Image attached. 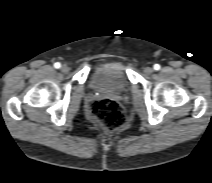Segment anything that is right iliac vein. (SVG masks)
I'll use <instances>...</instances> for the list:
<instances>
[{
  "label": "right iliac vein",
  "instance_id": "right-iliac-vein-1",
  "mask_svg": "<svg viewBox=\"0 0 212 183\" xmlns=\"http://www.w3.org/2000/svg\"><path fill=\"white\" fill-rule=\"evenodd\" d=\"M69 70H70V68H69L68 65L64 64V65L61 66V71H62L63 73H68Z\"/></svg>",
  "mask_w": 212,
  "mask_h": 183
}]
</instances>
